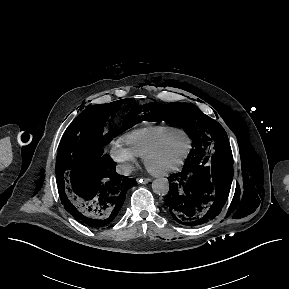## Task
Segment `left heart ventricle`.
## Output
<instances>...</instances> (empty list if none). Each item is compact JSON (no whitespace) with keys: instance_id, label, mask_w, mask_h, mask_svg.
I'll list each match as a JSON object with an SVG mask.
<instances>
[{"instance_id":"left-heart-ventricle-1","label":"left heart ventricle","mask_w":289,"mask_h":289,"mask_svg":"<svg viewBox=\"0 0 289 289\" xmlns=\"http://www.w3.org/2000/svg\"><path fill=\"white\" fill-rule=\"evenodd\" d=\"M185 149L186 139L182 136H176L152 158L151 166L155 169L167 168L179 161L185 152Z\"/></svg>"}]
</instances>
